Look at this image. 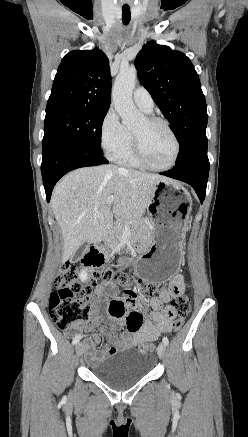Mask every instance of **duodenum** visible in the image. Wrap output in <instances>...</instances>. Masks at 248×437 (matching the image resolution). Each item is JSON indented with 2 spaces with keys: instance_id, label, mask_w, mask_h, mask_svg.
<instances>
[{
  "instance_id": "obj_1",
  "label": "duodenum",
  "mask_w": 248,
  "mask_h": 437,
  "mask_svg": "<svg viewBox=\"0 0 248 437\" xmlns=\"http://www.w3.org/2000/svg\"><path fill=\"white\" fill-rule=\"evenodd\" d=\"M105 244V240L102 241L100 244H98L97 246H94L92 248H90L88 250V252L85 255V260L89 261L97 256H102V249L104 247Z\"/></svg>"
}]
</instances>
